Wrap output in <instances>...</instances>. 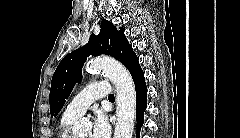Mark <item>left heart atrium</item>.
Masks as SVG:
<instances>
[{"label":"left heart atrium","instance_id":"1","mask_svg":"<svg viewBox=\"0 0 240 138\" xmlns=\"http://www.w3.org/2000/svg\"><path fill=\"white\" fill-rule=\"evenodd\" d=\"M111 133L110 124L103 112L98 111L94 118L92 138H108Z\"/></svg>","mask_w":240,"mask_h":138}]
</instances>
